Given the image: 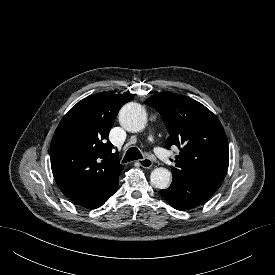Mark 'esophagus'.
<instances>
[{
    "instance_id": "1",
    "label": "esophagus",
    "mask_w": 275,
    "mask_h": 275,
    "mask_svg": "<svg viewBox=\"0 0 275 275\" xmlns=\"http://www.w3.org/2000/svg\"><path fill=\"white\" fill-rule=\"evenodd\" d=\"M138 164H139L141 167L148 169V168L152 167L153 162H152V160L149 159V158H144V159L138 160Z\"/></svg>"
}]
</instances>
